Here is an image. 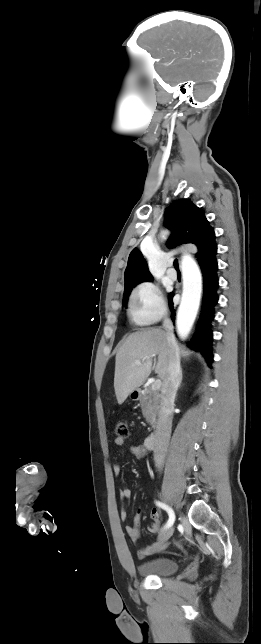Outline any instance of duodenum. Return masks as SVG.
<instances>
[{"instance_id":"duodenum-1","label":"duodenum","mask_w":261,"mask_h":644,"mask_svg":"<svg viewBox=\"0 0 261 644\" xmlns=\"http://www.w3.org/2000/svg\"><path fill=\"white\" fill-rule=\"evenodd\" d=\"M143 397H144V393L142 391H140V390L137 391L136 399L141 400V399H143ZM155 419H156V423H157V429H156V431H154L153 433L148 435L146 437V439H145V442H144L145 447L147 449H149V450L155 449L156 446H157V443H158V436H159V432H158L159 415H158V413H156Z\"/></svg>"}]
</instances>
